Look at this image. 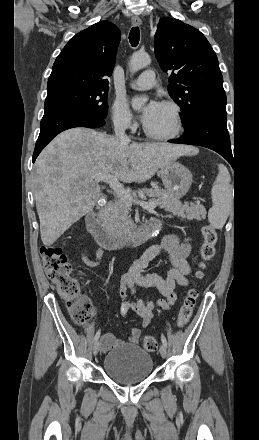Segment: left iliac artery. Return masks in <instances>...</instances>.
Listing matches in <instances>:
<instances>
[{
  "instance_id": "obj_1",
  "label": "left iliac artery",
  "mask_w": 259,
  "mask_h": 440,
  "mask_svg": "<svg viewBox=\"0 0 259 440\" xmlns=\"http://www.w3.org/2000/svg\"><path fill=\"white\" fill-rule=\"evenodd\" d=\"M161 341L165 346H167V340L163 334L161 335Z\"/></svg>"
}]
</instances>
